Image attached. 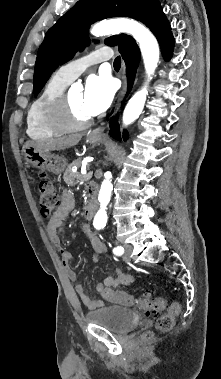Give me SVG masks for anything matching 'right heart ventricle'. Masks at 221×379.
<instances>
[{
	"label": "right heart ventricle",
	"mask_w": 221,
	"mask_h": 379,
	"mask_svg": "<svg viewBox=\"0 0 221 379\" xmlns=\"http://www.w3.org/2000/svg\"><path fill=\"white\" fill-rule=\"evenodd\" d=\"M68 85L69 82L55 74L31 103L26 118V132L30 138L43 140L64 132L50 123L49 109Z\"/></svg>",
	"instance_id": "right-heart-ventricle-1"
}]
</instances>
